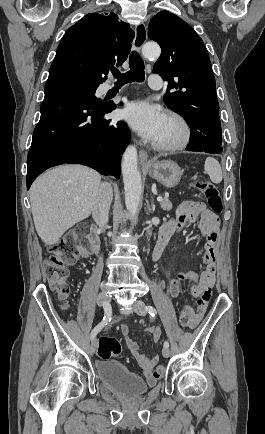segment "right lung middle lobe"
Instances as JSON below:
<instances>
[{
	"mask_svg": "<svg viewBox=\"0 0 265 434\" xmlns=\"http://www.w3.org/2000/svg\"><path fill=\"white\" fill-rule=\"evenodd\" d=\"M49 78H66V79H70V80L84 81V82L88 83L89 86H94V87H97L100 84V82H98L96 80H93L91 78L82 77V76H75V75H55V76H51ZM91 91H92V95H91L92 99L95 102H97V104H100L102 100L101 99H97L95 97V95H94L95 94L94 93L95 92V88L92 89Z\"/></svg>",
	"mask_w": 265,
	"mask_h": 434,
	"instance_id": "obj_1",
	"label": "right lung middle lobe"
}]
</instances>
